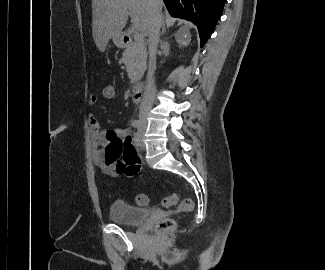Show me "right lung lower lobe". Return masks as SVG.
<instances>
[{"instance_id": "obj_1", "label": "right lung lower lobe", "mask_w": 325, "mask_h": 270, "mask_svg": "<svg viewBox=\"0 0 325 270\" xmlns=\"http://www.w3.org/2000/svg\"><path fill=\"white\" fill-rule=\"evenodd\" d=\"M173 17L189 20L199 30L201 46L211 35L226 0H163Z\"/></svg>"}]
</instances>
